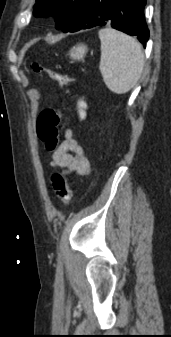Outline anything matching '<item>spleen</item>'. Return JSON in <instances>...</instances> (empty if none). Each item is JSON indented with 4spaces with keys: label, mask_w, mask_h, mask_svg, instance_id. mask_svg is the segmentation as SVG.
<instances>
[{
    "label": "spleen",
    "mask_w": 171,
    "mask_h": 337,
    "mask_svg": "<svg viewBox=\"0 0 171 337\" xmlns=\"http://www.w3.org/2000/svg\"><path fill=\"white\" fill-rule=\"evenodd\" d=\"M99 39V69L106 86L113 93H127L136 85L143 72L145 58L141 44L111 27L101 29Z\"/></svg>",
    "instance_id": "spleen-1"
}]
</instances>
